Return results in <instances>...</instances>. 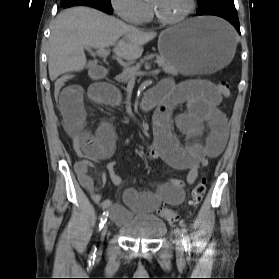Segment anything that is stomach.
I'll list each match as a JSON object with an SVG mask.
<instances>
[{"label": "stomach", "mask_w": 279, "mask_h": 279, "mask_svg": "<svg viewBox=\"0 0 279 279\" xmlns=\"http://www.w3.org/2000/svg\"><path fill=\"white\" fill-rule=\"evenodd\" d=\"M160 55L181 74H210L227 69L236 49L235 35L225 22L199 17L159 35Z\"/></svg>", "instance_id": "0dacf381"}]
</instances>
